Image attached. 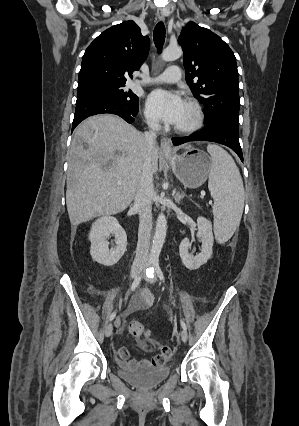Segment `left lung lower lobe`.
Here are the masks:
<instances>
[{"label": "left lung lower lobe", "instance_id": "1", "mask_svg": "<svg viewBox=\"0 0 299 426\" xmlns=\"http://www.w3.org/2000/svg\"><path fill=\"white\" fill-rule=\"evenodd\" d=\"M190 141H211L226 145L235 151L243 162V154L239 143V127L232 124L225 122L213 124L206 123L201 131L193 135L172 138V142L175 146Z\"/></svg>", "mask_w": 299, "mask_h": 426}]
</instances>
